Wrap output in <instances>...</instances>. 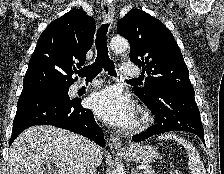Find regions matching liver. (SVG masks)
I'll use <instances>...</instances> for the list:
<instances>
[{"mask_svg":"<svg viewBox=\"0 0 224 174\" xmlns=\"http://www.w3.org/2000/svg\"><path fill=\"white\" fill-rule=\"evenodd\" d=\"M85 137L51 125L24 130L9 149L8 174H46L44 163H53L57 174H78ZM103 153L96 157L101 164Z\"/></svg>","mask_w":224,"mask_h":174,"instance_id":"obj_1","label":"liver"}]
</instances>
